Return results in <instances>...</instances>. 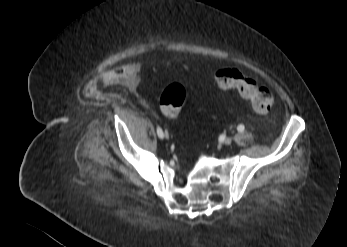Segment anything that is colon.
Returning <instances> with one entry per match:
<instances>
[{
  "instance_id": "1",
  "label": "colon",
  "mask_w": 347,
  "mask_h": 247,
  "mask_svg": "<svg viewBox=\"0 0 347 247\" xmlns=\"http://www.w3.org/2000/svg\"><path fill=\"white\" fill-rule=\"evenodd\" d=\"M215 81L220 90L236 89L248 100L253 109L259 113L268 112L274 102L271 91L259 86L250 77L237 69H221L215 75ZM186 92L182 85L174 83L169 85L161 94L160 107L169 118H176L185 102Z\"/></svg>"
}]
</instances>
